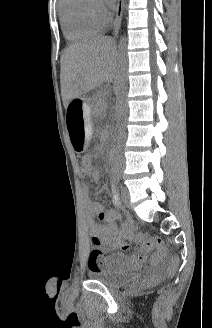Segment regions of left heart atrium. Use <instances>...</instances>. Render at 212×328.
Listing matches in <instances>:
<instances>
[{
	"label": "left heart atrium",
	"mask_w": 212,
	"mask_h": 328,
	"mask_svg": "<svg viewBox=\"0 0 212 328\" xmlns=\"http://www.w3.org/2000/svg\"><path fill=\"white\" fill-rule=\"evenodd\" d=\"M106 1H107L108 4L111 5V4H113V2H114L115 0H106Z\"/></svg>",
	"instance_id": "1"
}]
</instances>
